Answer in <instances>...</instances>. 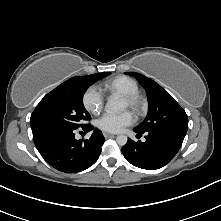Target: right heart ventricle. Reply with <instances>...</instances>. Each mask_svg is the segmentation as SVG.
I'll return each instance as SVG.
<instances>
[{"instance_id":"e07e8e85","label":"right heart ventricle","mask_w":221,"mask_h":221,"mask_svg":"<svg viewBox=\"0 0 221 221\" xmlns=\"http://www.w3.org/2000/svg\"><path fill=\"white\" fill-rule=\"evenodd\" d=\"M104 90L112 94L125 96L128 94L138 93L139 86L133 78L120 75L105 82Z\"/></svg>"}]
</instances>
